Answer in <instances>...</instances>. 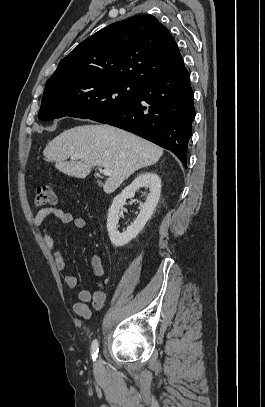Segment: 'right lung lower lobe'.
I'll return each mask as SVG.
<instances>
[{"instance_id":"1","label":"right lung lower lobe","mask_w":265,"mask_h":407,"mask_svg":"<svg viewBox=\"0 0 265 407\" xmlns=\"http://www.w3.org/2000/svg\"><path fill=\"white\" fill-rule=\"evenodd\" d=\"M194 117L190 74L180 56L171 70L141 85L133 102L90 119L170 150L186 167Z\"/></svg>"}]
</instances>
